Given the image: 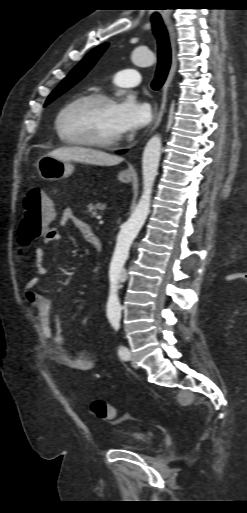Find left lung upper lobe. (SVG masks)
<instances>
[{"label": "left lung upper lobe", "mask_w": 247, "mask_h": 513, "mask_svg": "<svg viewBox=\"0 0 247 513\" xmlns=\"http://www.w3.org/2000/svg\"><path fill=\"white\" fill-rule=\"evenodd\" d=\"M107 47L108 43H104L88 53L83 58V60L69 73V75L59 84V86L50 94L44 106L51 103L53 100L74 86L78 81H80L94 66L96 61L100 58Z\"/></svg>", "instance_id": "1"}]
</instances>
